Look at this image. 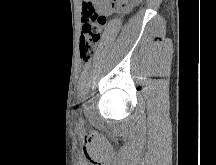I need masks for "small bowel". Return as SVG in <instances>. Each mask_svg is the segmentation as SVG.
Segmentation results:
<instances>
[{"label": "small bowel", "instance_id": "obj_1", "mask_svg": "<svg viewBox=\"0 0 216 165\" xmlns=\"http://www.w3.org/2000/svg\"><path fill=\"white\" fill-rule=\"evenodd\" d=\"M141 0H124V6L127 9H130L137 5ZM112 4V0H83V9L84 10H96V12L101 14H106L110 6Z\"/></svg>", "mask_w": 216, "mask_h": 165}]
</instances>
